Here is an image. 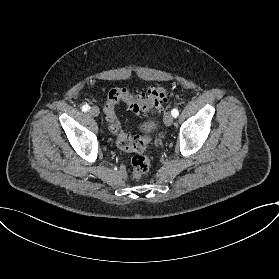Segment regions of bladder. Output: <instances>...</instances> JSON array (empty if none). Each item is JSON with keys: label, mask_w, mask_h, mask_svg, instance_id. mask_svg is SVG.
Here are the masks:
<instances>
[{"label": "bladder", "mask_w": 279, "mask_h": 279, "mask_svg": "<svg viewBox=\"0 0 279 279\" xmlns=\"http://www.w3.org/2000/svg\"><path fill=\"white\" fill-rule=\"evenodd\" d=\"M140 132L143 134H155L159 130V122L156 119H150L144 122H139Z\"/></svg>", "instance_id": "obj_1"}]
</instances>
